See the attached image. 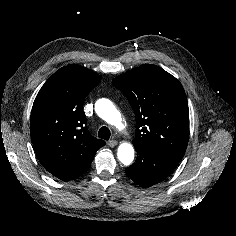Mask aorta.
I'll return each mask as SVG.
<instances>
[{"mask_svg":"<svg viewBox=\"0 0 236 236\" xmlns=\"http://www.w3.org/2000/svg\"><path fill=\"white\" fill-rule=\"evenodd\" d=\"M95 111L100 118L120 128L122 118L120 112L115 108L114 104L108 99H100L95 104ZM118 159L124 165H130L134 160V148L130 143H122L118 147Z\"/></svg>","mask_w":236,"mask_h":236,"instance_id":"aorta-1","label":"aorta"}]
</instances>
